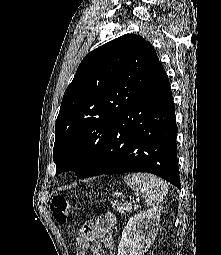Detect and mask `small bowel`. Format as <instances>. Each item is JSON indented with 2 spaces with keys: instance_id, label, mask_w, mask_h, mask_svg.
I'll return each instance as SVG.
<instances>
[{
  "instance_id": "small-bowel-1",
  "label": "small bowel",
  "mask_w": 221,
  "mask_h": 255,
  "mask_svg": "<svg viewBox=\"0 0 221 255\" xmlns=\"http://www.w3.org/2000/svg\"><path fill=\"white\" fill-rule=\"evenodd\" d=\"M115 218L106 214L95 220L86 222L80 229L76 238V255H115V241L113 227Z\"/></svg>"
}]
</instances>
